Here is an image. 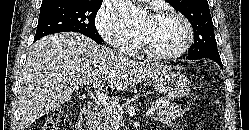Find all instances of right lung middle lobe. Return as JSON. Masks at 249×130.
<instances>
[{
	"instance_id": "obj_1",
	"label": "right lung middle lobe",
	"mask_w": 249,
	"mask_h": 130,
	"mask_svg": "<svg viewBox=\"0 0 249 130\" xmlns=\"http://www.w3.org/2000/svg\"><path fill=\"white\" fill-rule=\"evenodd\" d=\"M102 2L87 0H61L41 5L34 40L57 32H79L97 43L102 38L95 27V16Z\"/></svg>"
}]
</instances>
